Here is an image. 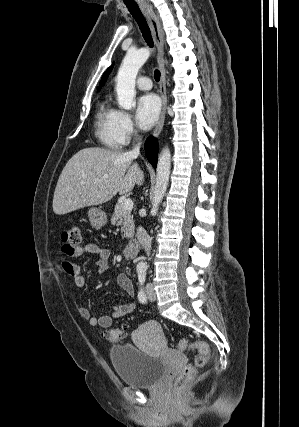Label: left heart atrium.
Segmentation results:
<instances>
[{
	"instance_id": "1",
	"label": "left heart atrium",
	"mask_w": 299,
	"mask_h": 427,
	"mask_svg": "<svg viewBox=\"0 0 299 427\" xmlns=\"http://www.w3.org/2000/svg\"><path fill=\"white\" fill-rule=\"evenodd\" d=\"M160 113V101L152 93L141 96L137 101L136 120L143 129L151 128L157 121Z\"/></svg>"
}]
</instances>
